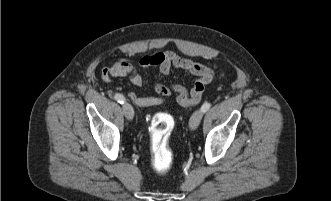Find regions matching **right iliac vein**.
<instances>
[{"label":"right iliac vein","mask_w":331,"mask_h":201,"mask_svg":"<svg viewBox=\"0 0 331 201\" xmlns=\"http://www.w3.org/2000/svg\"><path fill=\"white\" fill-rule=\"evenodd\" d=\"M122 108H123V112H124L125 117L128 120H132L133 117H134V110H133L132 106L129 103L125 102L123 104Z\"/></svg>","instance_id":"right-iliac-vein-1"}]
</instances>
